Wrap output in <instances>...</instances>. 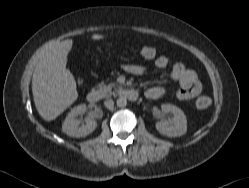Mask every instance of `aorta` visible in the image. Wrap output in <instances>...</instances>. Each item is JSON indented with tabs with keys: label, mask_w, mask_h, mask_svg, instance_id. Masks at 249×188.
Returning <instances> with one entry per match:
<instances>
[{
	"label": "aorta",
	"mask_w": 249,
	"mask_h": 188,
	"mask_svg": "<svg viewBox=\"0 0 249 188\" xmlns=\"http://www.w3.org/2000/svg\"><path fill=\"white\" fill-rule=\"evenodd\" d=\"M126 105H127V99L125 97H119L117 99V106L118 107L123 108V107H126Z\"/></svg>",
	"instance_id": "1"
}]
</instances>
